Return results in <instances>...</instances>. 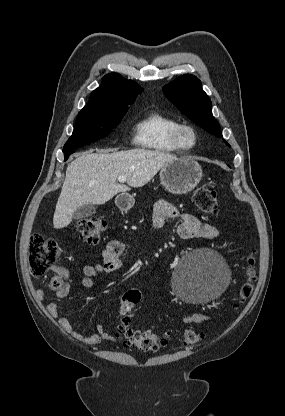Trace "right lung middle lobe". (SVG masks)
<instances>
[{"label":"right lung middle lobe","instance_id":"dd1d6c3e","mask_svg":"<svg viewBox=\"0 0 285 416\" xmlns=\"http://www.w3.org/2000/svg\"><path fill=\"white\" fill-rule=\"evenodd\" d=\"M128 107L109 109L83 108L78 115L72 136L63 152L90 144L107 136L126 114Z\"/></svg>","mask_w":285,"mask_h":416}]
</instances>
